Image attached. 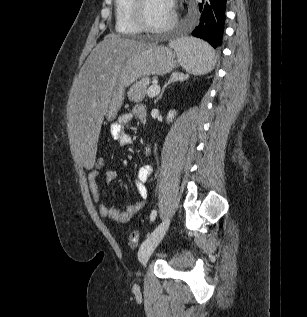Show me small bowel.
Returning <instances> with one entry per match:
<instances>
[{
    "mask_svg": "<svg viewBox=\"0 0 307 317\" xmlns=\"http://www.w3.org/2000/svg\"><path fill=\"white\" fill-rule=\"evenodd\" d=\"M133 117L139 120H145L146 110L143 106H136L131 113H124L119 116L118 120L110 126V134L112 138L118 141L119 145L124 147L131 143V136L126 131V127L132 121ZM152 174V168L148 165L141 166L138 169L137 176L134 181L135 189L140 197L135 203L130 204L124 210H117L108 206L101 201V194L98 185L99 171L92 170L88 175V184L94 201L98 204L99 213L104 218H109L116 223H126L135 214L141 211L144 207V199L147 197L146 182ZM116 178V172L106 170L105 180L112 182Z\"/></svg>",
    "mask_w": 307,
    "mask_h": 317,
    "instance_id": "1",
    "label": "small bowel"
}]
</instances>
